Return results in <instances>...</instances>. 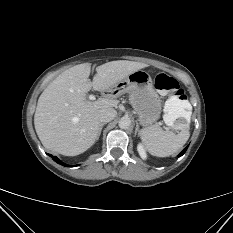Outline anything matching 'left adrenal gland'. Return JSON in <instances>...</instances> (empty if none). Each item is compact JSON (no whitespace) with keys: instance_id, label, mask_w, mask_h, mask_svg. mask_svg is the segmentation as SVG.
<instances>
[{"instance_id":"obj_1","label":"left adrenal gland","mask_w":233,"mask_h":233,"mask_svg":"<svg viewBox=\"0 0 233 233\" xmlns=\"http://www.w3.org/2000/svg\"><path fill=\"white\" fill-rule=\"evenodd\" d=\"M137 132H139V124L136 121L135 136L137 135Z\"/></svg>"}]
</instances>
